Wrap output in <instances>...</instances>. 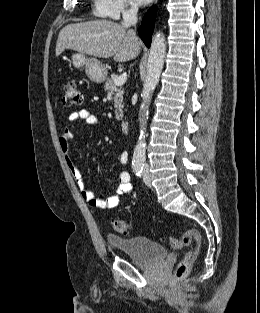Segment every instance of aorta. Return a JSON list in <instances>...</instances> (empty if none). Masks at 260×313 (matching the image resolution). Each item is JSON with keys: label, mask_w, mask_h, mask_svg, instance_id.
<instances>
[{"label": "aorta", "mask_w": 260, "mask_h": 313, "mask_svg": "<svg viewBox=\"0 0 260 313\" xmlns=\"http://www.w3.org/2000/svg\"><path fill=\"white\" fill-rule=\"evenodd\" d=\"M165 53H166L165 36L161 33H157L153 37L151 43L147 63V73L143 85V90L141 93V97L143 99V104L140 109V121L142 123V130L140 131V136L133 153L134 164H142L145 162L146 158L145 127L148 119L149 100L152 92L154 91L156 85L158 84L164 65Z\"/></svg>", "instance_id": "1"}]
</instances>
